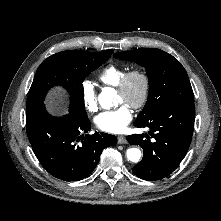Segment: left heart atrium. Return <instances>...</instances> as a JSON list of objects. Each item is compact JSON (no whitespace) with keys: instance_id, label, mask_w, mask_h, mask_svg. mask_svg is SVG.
<instances>
[{"instance_id":"1","label":"left heart atrium","mask_w":221,"mask_h":221,"mask_svg":"<svg viewBox=\"0 0 221 221\" xmlns=\"http://www.w3.org/2000/svg\"><path fill=\"white\" fill-rule=\"evenodd\" d=\"M132 120V112L128 105L123 104L114 110L104 111L95 118L98 129L108 133H121Z\"/></svg>"}]
</instances>
